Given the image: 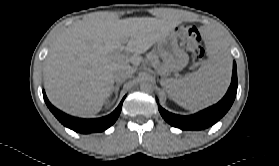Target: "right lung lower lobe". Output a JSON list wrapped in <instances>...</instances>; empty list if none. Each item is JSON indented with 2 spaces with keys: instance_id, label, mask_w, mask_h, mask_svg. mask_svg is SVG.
<instances>
[{
  "instance_id": "right-lung-lower-lobe-1",
  "label": "right lung lower lobe",
  "mask_w": 279,
  "mask_h": 166,
  "mask_svg": "<svg viewBox=\"0 0 279 166\" xmlns=\"http://www.w3.org/2000/svg\"><path fill=\"white\" fill-rule=\"evenodd\" d=\"M43 97L44 100L50 109V111L54 114V116L66 127L79 132V133H92V132H101L109 128L114 124V122L117 120L121 108L122 103L125 99V97L120 102L119 106L109 115L96 118V119H81V118H75L72 116H69L54 106L51 105V103L48 101L45 92L43 91Z\"/></svg>"
}]
</instances>
